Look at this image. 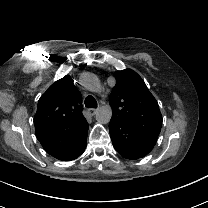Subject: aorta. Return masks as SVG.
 <instances>
[{
  "label": "aorta",
  "instance_id": "1",
  "mask_svg": "<svg viewBox=\"0 0 208 208\" xmlns=\"http://www.w3.org/2000/svg\"><path fill=\"white\" fill-rule=\"evenodd\" d=\"M112 117V108L105 104L96 109V120L102 124L110 122Z\"/></svg>",
  "mask_w": 208,
  "mask_h": 208
}]
</instances>
